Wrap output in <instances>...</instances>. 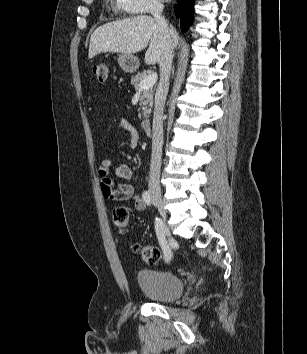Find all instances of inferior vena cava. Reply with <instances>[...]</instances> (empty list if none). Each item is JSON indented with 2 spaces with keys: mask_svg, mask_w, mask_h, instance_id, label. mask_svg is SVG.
Segmentation results:
<instances>
[{
  "mask_svg": "<svg viewBox=\"0 0 307 354\" xmlns=\"http://www.w3.org/2000/svg\"><path fill=\"white\" fill-rule=\"evenodd\" d=\"M163 5L154 4L151 14L159 28L163 43L160 65V81L155 94V108L152 125V154L149 172V191L160 193V169L163 146V112L169 89V78L173 60L174 35L162 16Z\"/></svg>",
  "mask_w": 307,
  "mask_h": 354,
  "instance_id": "602c4592",
  "label": "inferior vena cava"
}]
</instances>
